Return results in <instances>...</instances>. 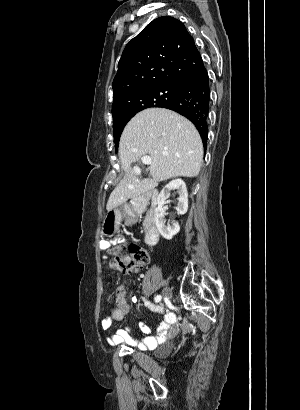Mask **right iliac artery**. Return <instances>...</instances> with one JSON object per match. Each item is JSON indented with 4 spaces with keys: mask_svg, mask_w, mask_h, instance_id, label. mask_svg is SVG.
<instances>
[{
    "mask_svg": "<svg viewBox=\"0 0 300 410\" xmlns=\"http://www.w3.org/2000/svg\"><path fill=\"white\" fill-rule=\"evenodd\" d=\"M162 296L161 295H157L155 297V302H159L161 300Z\"/></svg>",
    "mask_w": 300,
    "mask_h": 410,
    "instance_id": "1",
    "label": "right iliac artery"
}]
</instances>
